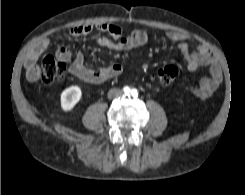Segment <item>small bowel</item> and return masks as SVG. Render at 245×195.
<instances>
[{
  "label": "small bowel",
  "mask_w": 245,
  "mask_h": 195,
  "mask_svg": "<svg viewBox=\"0 0 245 195\" xmlns=\"http://www.w3.org/2000/svg\"><path fill=\"white\" fill-rule=\"evenodd\" d=\"M69 33L72 36L95 34L97 42L101 46L115 51L138 48L144 46L148 40L147 33L144 30L137 29L124 36L122 29L115 24L81 25L71 28ZM167 37L171 43L177 45L189 71H196L201 66L208 67L209 75L203 78L197 87L191 88L190 91L200 99L211 96L222 82L223 77L221 66L214 54L203 43L197 44L196 50L192 51L187 43L186 36L181 33L170 32ZM48 46L49 40L44 38L37 42L28 53L25 59V68L29 81H36L39 78L40 70L37 61ZM56 55L58 59L64 62L71 59V52L66 47H60ZM69 72L84 82L101 84L120 75L122 67L119 64L113 63L94 70L85 64L83 54L77 52L69 65Z\"/></svg>",
  "instance_id": "small-bowel-1"
}]
</instances>
